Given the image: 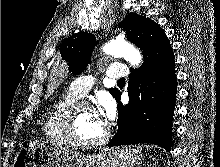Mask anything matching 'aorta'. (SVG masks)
I'll use <instances>...</instances> for the list:
<instances>
[{
  "instance_id": "obj_1",
  "label": "aorta",
  "mask_w": 220,
  "mask_h": 167,
  "mask_svg": "<svg viewBox=\"0 0 220 167\" xmlns=\"http://www.w3.org/2000/svg\"><path fill=\"white\" fill-rule=\"evenodd\" d=\"M106 54L123 57L133 67H138L142 62L140 52L123 38H116L103 46Z\"/></svg>"
}]
</instances>
